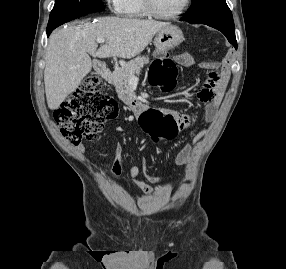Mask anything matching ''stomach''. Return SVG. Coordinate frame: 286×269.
<instances>
[{
  "mask_svg": "<svg viewBox=\"0 0 286 269\" xmlns=\"http://www.w3.org/2000/svg\"><path fill=\"white\" fill-rule=\"evenodd\" d=\"M184 40L181 29L169 24L157 32L154 38L155 49H174Z\"/></svg>",
  "mask_w": 286,
  "mask_h": 269,
  "instance_id": "obj_1",
  "label": "stomach"
}]
</instances>
